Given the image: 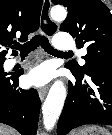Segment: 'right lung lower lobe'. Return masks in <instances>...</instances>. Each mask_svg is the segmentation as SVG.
Returning <instances> with one entry per match:
<instances>
[{"label": "right lung lower lobe", "mask_w": 112, "mask_h": 135, "mask_svg": "<svg viewBox=\"0 0 112 135\" xmlns=\"http://www.w3.org/2000/svg\"><path fill=\"white\" fill-rule=\"evenodd\" d=\"M18 76L0 82V123L7 124L22 135H35L41 101L35 89L18 88Z\"/></svg>", "instance_id": "1"}]
</instances>
